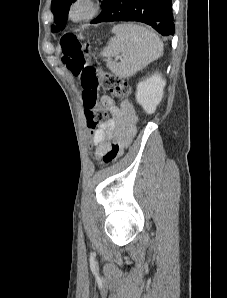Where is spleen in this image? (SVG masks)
I'll return each instance as SVG.
<instances>
[{"label": "spleen", "instance_id": "3e777b00", "mask_svg": "<svg viewBox=\"0 0 227 298\" xmlns=\"http://www.w3.org/2000/svg\"><path fill=\"white\" fill-rule=\"evenodd\" d=\"M112 33L115 36L110 39L101 56L107 58L106 66L120 78L135 75L163 54L164 44L159 36L143 26L118 24L113 27ZM120 54L123 59L117 62Z\"/></svg>", "mask_w": 227, "mask_h": 298}]
</instances>
